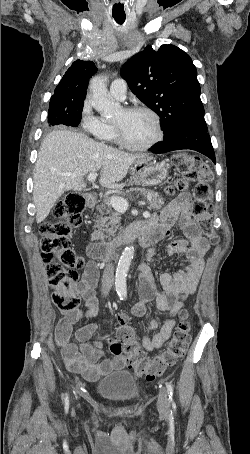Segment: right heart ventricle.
Masks as SVG:
<instances>
[{"label": "right heart ventricle", "instance_id": "1", "mask_svg": "<svg viewBox=\"0 0 250 454\" xmlns=\"http://www.w3.org/2000/svg\"><path fill=\"white\" fill-rule=\"evenodd\" d=\"M104 128L99 134V138L103 141H116V134L112 124L104 123Z\"/></svg>", "mask_w": 250, "mask_h": 454}]
</instances>
